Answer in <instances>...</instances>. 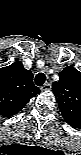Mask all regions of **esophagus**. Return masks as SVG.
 <instances>
[{
    "instance_id": "1",
    "label": "esophagus",
    "mask_w": 81,
    "mask_h": 155,
    "mask_svg": "<svg viewBox=\"0 0 81 155\" xmlns=\"http://www.w3.org/2000/svg\"><path fill=\"white\" fill-rule=\"evenodd\" d=\"M51 89V84L49 82L45 83L42 87L41 90L42 91H48Z\"/></svg>"
}]
</instances>
